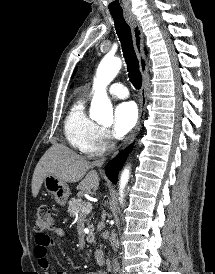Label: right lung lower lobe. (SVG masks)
<instances>
[{"label": "right lung lower lobe", "instance_id": "1", "mask_svg": "<svg viewBox=\"0 0 215 274\" xmlns=\"http://www.w3.org/2000/svg\"><path fill=\"white\" fill-rule=\"evenodd\" d=\"M132 146H129L123 153L117 158L111 161L106 167V175L113 182L116 183L119 170L122 168V164L125 162L127 154L130 152Z\"/></svg>", "mask_w": 215, "mask_h": 274}]
</instances>
